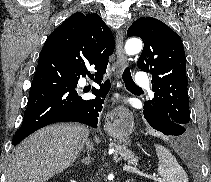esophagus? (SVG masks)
Instances as JSON below:
<instances>
[{"label":"esophagus","mask_w":211,"mask_h":182,"mask_svg":"<svg viewBox=\"0 0 211 182\" xmlns=\"http://www.w3.org/2000/svg\"><path fill=\"white\" fill-rule=\"evenodd\" d=\"M123 32L122 31H117L116 33V55H117V60H116V76L119 77L124 69V67L127 64V57L124 54V49H123ZM121 96L119 93H114L112 96V101L113 102H118L120 100ZM120 110H123V107H120Z\"/></svg>","instance_id":"1"}]
</instances>
